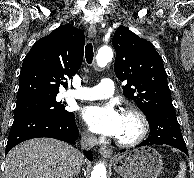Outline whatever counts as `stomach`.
Returning a JSON list of instances; mask_svg holds the SVG:
<instances>
[{
  "label": "stomach",
  "mask_w": 194,
  "mask_h": 178,
  "mask_svg": "<svg viewBox=\"0 0 194 178\" xmlns=\"http://www.w3.org/2000/svg\"><path fill=\"white\" fill-rule=\"evenodd\" d=\"M111 162L123 178H157L163 167L161 155L152 147H142L117 155Z\"/></svg>",
  "instance_id": "stomach-1"
}]
</instances>
